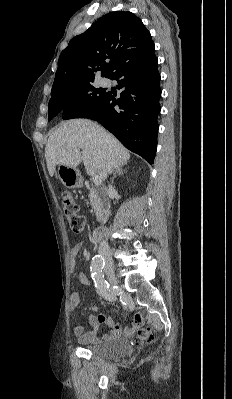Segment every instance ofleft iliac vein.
Wrapping results in <instances>:
<instances>
[{"label":"left iliac vein","mask_w":232,"mask_h":399,"mask_svg":"<svg viewBox=\"0 0 232 399\" xmlns=\"http://www.w3.org/2000/svg\"><path fill=\"white\" fill-rule=\"evenodd\" d=\"M104 272H108V269H104Z\"/></svg>","instance_id":"left-iliac-vein-1"}]
</instances>
